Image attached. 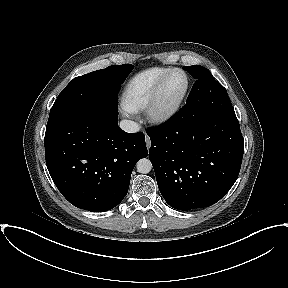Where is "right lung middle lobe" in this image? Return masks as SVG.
Listing matches in <instances>:
<instances>
[{
  "instance_id": "right-lung-middle-lobe-1",
  "label": "right lung middle lobe",
  "mask_w": 288,
  "mask_h": 288,
  "mask_svg": "<svg viewBox=\"0 0 288 288\" xmlns=\"http://www.w3.org/2000/svg\"><path fill=\"white\" fill-rule=\"evenodd\" d=\"M132 69L131 64L109 66L74 78L57 97L46 127L81 114L117 117V93Z\"/></svg>"
}]
</instances>
